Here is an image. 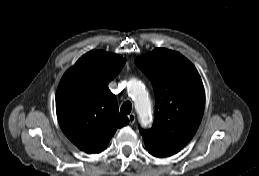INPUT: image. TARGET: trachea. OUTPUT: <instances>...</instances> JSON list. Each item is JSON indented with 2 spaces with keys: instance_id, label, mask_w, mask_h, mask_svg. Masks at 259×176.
I'll list each match as a JSON object with an SVG mask.
<instances>
[{
  "instance_id": "trachea-1",
  "label": "trachea",
  "mask_w": 259,
  "mask_h": 176,
  "mask_svg": "<svg viewBox=\"0 0 259 176\" xmlns=\"http://www.w3.org/2000/svg\"><path fill=\"white\" fill-rule=\"evenodd\" d=\"M132 110V104L129 101H126L122 104L120 111L124 114H129Z\"/></svg>"
}]
</instances>
